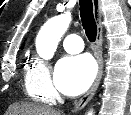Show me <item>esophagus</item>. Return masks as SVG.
<instances>
[{"mask_svg": "<svg viewBox=\"0 0 131 115\" xmlns=\"http://www.w3.org/2000/svg\"><path fill=\"white\" fill-rule=\"evenodd\" d=\"M92 3H93L94 19L97 24L95 57L98 62V73L89 91L75 104L74 109L72 111L73 113L80 111L92 99L100 84L103 74V57H102L103 27H102L101 1L92 0Z\"/></svg>", "mask_w": 131, "mask_h": 115, "instance_id": "esophagus-1", "label": "esophagus"}]
</instances>
